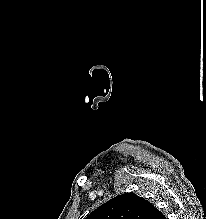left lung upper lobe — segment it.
<instances>
[{
    "mask_svg": "<svg viewBox=\"0 0 206 219\" xmlns=\"http://www.w3.org/2000/svg\"><path fill=\"white\" fill-rule=\"evenodd\" d=\"M154 208L144 198L124 193L99 206L86 219H151Z\"/></svg>",
    "mask_w": 206,
    "mask_h": 219,
    "instance_id": "1",
    "label": "left lung upper lobe"
}]
</instances>
